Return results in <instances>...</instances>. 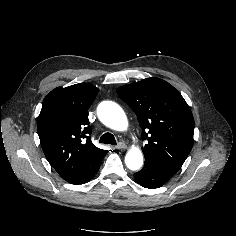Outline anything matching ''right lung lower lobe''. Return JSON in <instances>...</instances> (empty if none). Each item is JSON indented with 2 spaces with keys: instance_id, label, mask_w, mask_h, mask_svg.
<instances>
[{
  "instance_id": "obj_1",
  "label": "right lung lower lobe",
  "mask_w": 236,
  "mask_h": 236,
  "mask_svg": "<svg viewBox=\"0 0 236 236\" xmlns=\"http://www.w3.org/2000/svg\"><path fill=\"white\" fill-rule=\"evenodd\" d=\"M100 165H98L93 171H91L85 178L79 180L78 182L72 183V184H84L88 182L98 171Z\"/></svg>"
}]
</instances>
